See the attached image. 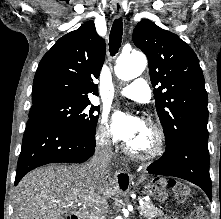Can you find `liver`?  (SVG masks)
I'll return each instance as SVG.
<instances>
[{
  "label": "liver",
  "mask_w": 221,
  "mask_h": 219,
  "mask_svg": "<svg viewBox=\"0 0 221 219\" xmlns=\"http://www.w3.org/2000/svg\"><path fill=\"white\" fill-rule=\"evenodd\" d=\"M114 190L107 177H97L88 164L50 165L27 174L13 196V219H63L76 201L106 210L107 197Z\"/></svg>",
  "instance_id": "1"
}]
</instances>
